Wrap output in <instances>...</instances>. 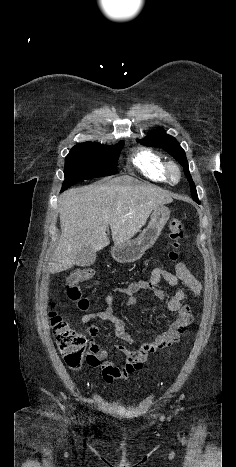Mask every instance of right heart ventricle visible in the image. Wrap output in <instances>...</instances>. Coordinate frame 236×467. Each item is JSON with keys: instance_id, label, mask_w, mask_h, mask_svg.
Masks as SVG:
<instances>
[{"instance_id": "right-heart-ventricle-1", "label": "right heart ventricle", "mask_w": 236, "mask_h": 467, "mask_svg": "<svg viewBox=\"0 0 236 467\" xmlns=\"http://www.w3.org/2000/svg\"><path fill=\"white\" fill-rule=\"evenodd\" d=\"M132 162L146 178L155 182L167 181L165 174L166 162L160 154L142 149L135 153Z\"/></svg>"}]
</instances>
